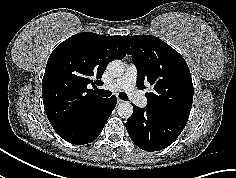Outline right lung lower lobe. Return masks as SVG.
I'll return each instance as SVG.
<instances>
[{
    "label": "right lung lower lobe",
    "mask_w": 236,
    "mask_h": 178,
    "mask_svg": "<svg viewBox=\"0 0 236 178\" xmlns=\"http://www.w3.org/2000/svg\"><path fill=\"white\" fill-rule=\"evenodd\" d=\"M116 103L115 96L105 99L82 120L55 131L62 139L72 144L81 145L90 143L102 132Z\"/></svg>",
    "instance_id": "98d812e1"
}]
</instances>
